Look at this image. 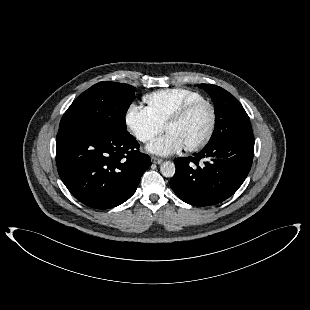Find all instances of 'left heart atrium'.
Wrapping results in <instances>:
<instances>
[{
	"label": "left heart atrium",
	"mask_w": 310,
	"mask_h": 310,
	"mask_svg": "<svg viewBox=\"0 0 310 310\" xmlns=\"http://www.w3.org/2000/svg\"><path fill=\"white\" fill-rule=\"evenodd\" d=\"M183 148L184 146L180 139L172 133H167L153 140L146 147L148 152L163 157L173 155Z\"/></svg>",
	"instance_id": "39dd6f15"
}]
</instances>
